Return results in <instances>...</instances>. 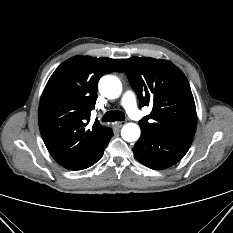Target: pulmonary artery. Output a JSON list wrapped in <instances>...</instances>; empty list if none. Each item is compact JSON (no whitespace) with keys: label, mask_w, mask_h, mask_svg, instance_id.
<instances>
[{"label":"pulmonary artery","mask_w":233,"mask_h":233,"mask_svg":"<svg viewBox=\"0 0 233 233\" xmlns=\"http://www.w3.org/2000/svg\"><path fill=\"white\" fill-rule=\"evenodd\" d=\"M121 105L125 108L128 115L136 120L143 119V115L139 111L137 104H136V97L135 94L127 90L121 97Z\"/></svg>","instance_id":"1"}]
</instances>
